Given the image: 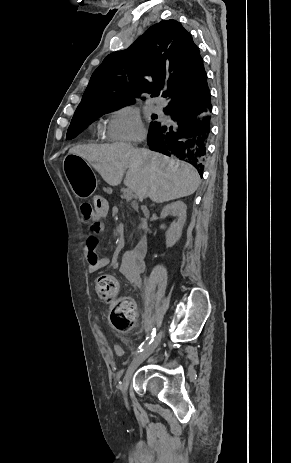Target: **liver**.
Returning a JSON list of instances; mask_svg holds the SVG:
<instances>
[{
    "label": "liver",
    "instance_id": "1",
    "mask_svg": "<svg viewBox=\"0 0 291 463\" xmlns=\"http://www.w3.org/2000/svg\"><path fill=\"white\" fill-rule=\"evenodd\" d=\"M69 154L88 161L111 186L119 185L127 170L124 184L139 200H175L192 195L200 184V176L190 164L126 143L78 145Z\"/></svg>",
    "mask_w": 291,
    "mask_h": 463
}]
</instances>
